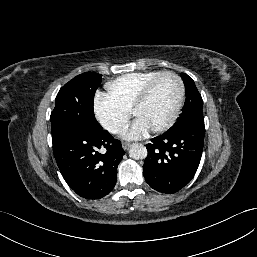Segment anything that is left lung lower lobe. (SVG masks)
I'll return each instance as SVG.
<instances>
[{"label": "left lung lower lobe", "mask_w": 257, "mask_h": 257, "mask_svg": "<svg viewBox=\"0 0 257 257\" xmlns=\"http://www.w3.org/2000/svg\"><path fill=\"white\" fill-rule=\"evenodd\" d=\"M203 126L184 127L151 139L143 173L146 182L161 193H176L194 177L204 145Z\"/></svg>", "instance_id": "left-lung-lower-lobe-1"}]
</instances>
